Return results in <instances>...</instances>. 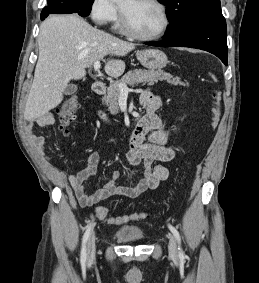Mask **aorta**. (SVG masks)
Returning <instances> with one entry per match:
<instances>
[{"label":"aorta","mask_w":259,"mask_h":283,"mask_svg":"<svg viewBox=\"0 0 259 283\" xmlns=\"http://www.w3.org/2000/svg\"><path fill=\"white\" fill-rule=\"evenodd\" d=\"M111 1H113V2H119V1H121V0H111Z\"/></svg>","instance_id":"1"}]
</instances>
